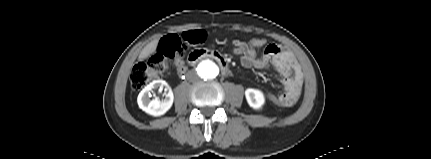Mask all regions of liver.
Here are the masks:
<instances>
[{"instance_id":"1","label":"liver","mask_w":431,"mask_h":159,"mask_svg":"<svg viewBox=\"0 0 431 159\" xmlns=\"http://www.w3.org/2000/svg\"><path fill=\"white\" fill-rule=\"evenodd\" d=\"M158 46V40H154L152 42H150L149 44H147L141 51L138 60L139 61H143L144 59H146L147 57H149L151 54H153Z\"/></svg>"}]
</instances>
